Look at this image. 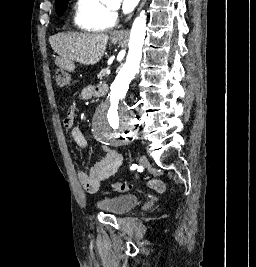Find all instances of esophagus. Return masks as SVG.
Here are the masks:
<instances>
[{
  "mask_svg": "<svg viewBox=\"0 0 256 267\" xmlns=\"http://www.w3.org/2000/svg\"><path fill=\"white\" fill-rule=\"evenodd\" d=\"M145 3H146V0H141L140 6L138 8V12L143 8ZM126 34L127 32L125 30H120L119 32L115 34V36H126Z\"/></svg>",
  "mask_w": 256,
  "mask_h": 267,
  "instance_id": "esophagus-1",
  "label": "esophagus"
}]
</instances>
